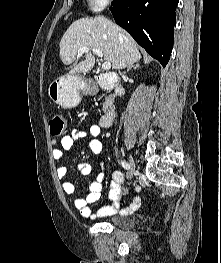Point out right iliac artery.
Returning a JSON list of instances; mask_svg holds the SVG:
<instances>
[{
	"instance_id": "obj_1",
	"label": "right iliac artery",
	"mask_w": 221,
	"mask_h": 263,
	"mask_svg": "<svg viewBox=\"0 0 221 263\" xmlns=\"http://www.w3.org/2000/svg\"><path fill=\"white\" fill-rule=\"evenodd\" d=\"M121 165H122V167L123 168H125V169H130V165L126 162V161H121Z\"/></svg>"
}]
</instances>
